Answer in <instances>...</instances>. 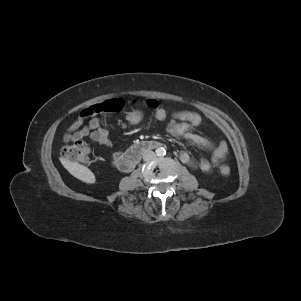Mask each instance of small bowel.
Masks as SVG:
<instances>
[{
  "instance_id": "obj_1",
  "label": "small bowel",
  "mask_w": 301,
  "mask_h": 301,
  "mask_svg": "<svg viewBox=\"0 0 301 301\" xmlns=\"http://www.w3.org/2000/svg\"><path fill=\"white\" fill-rule=\"evenodd\" d=\"M172 114H169L163 108L156 110L158 120H168L167 132L170 135L187 139L199 147L213 150L210 160L201 158L195 161L185 151L180 152V160L185 164L198 167L203 172H209L213 166L217 165L226 156L227 145L225 141H220L217 145H214L208 138L193 132L192 128L194 126L192 124L185 123L181 119H176ZM83 119L85 118L80 116L69 126L64 134V141L76 142L85 137H89L94 143L105 148H110L112 142L109 137V132L106 128L102 127L101 120L94 118L87 125L81 127ZM123 155V152H112L110 154L111 163L119 169H121L120 163Z\"/></svg>"
}]
</instances>
